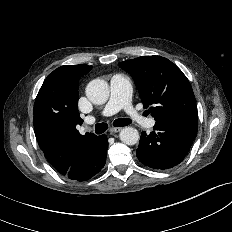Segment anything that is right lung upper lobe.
<instances>
[{
  "label": "right lung upper lobe",
  "mask_w": 232,
  "mask_h": 232,
  "mask_svg": "<svg viewBox=\"0 0 232 232\" xmlns=\"http://www.w3.org/2000/svg\"><path fill=\"white\" fill-rule=\"evenodd\" d=\"M89 65H65L51 72L43 82L34 105V129L38 144L50 164L67 171L79 146L96 135H81L76 129L83 120L77 110L79 79Z\"/></svg>",
  "instance_id": "1"
}]
</instances>
